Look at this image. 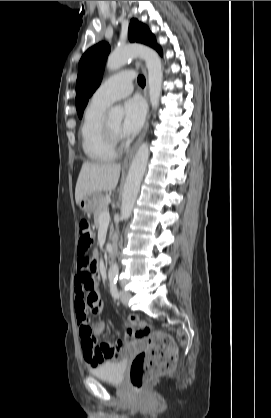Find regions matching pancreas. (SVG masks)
I'll return each mask as SVG.
<instances>
[{
  "label": "pancreas",
  "mask_w": 271,
  "mask_h": 418,
  "mask_svg": "<svg viewBox=\"0 0 271 418\" xmlns=\"http://www.w3.org/2000/svg\"><path fill=\"white\" fill-rule=\"evenodd\" d=\"M108 209V201L106 196H102L100 203L94 211V223L96 227L100 226V216ZM112 233V226L110 227V234Z\"/></svg>",
  "instance_id": "cf45deb5"
}]
</instances>
